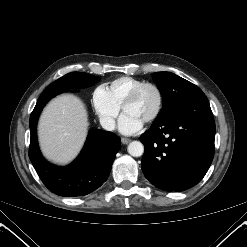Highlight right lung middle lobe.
Instances as JSON below:
<instances>
[{"label": "right lung middle lobe", "mask_w": 247, "mask_h": 247, "mask_svg": "<svg viewBox=\"0 0 247 247\" xmlns=\"http://www.w3.org/2000/svg\"><path fill=\"white\" fill-rule=\"evenodd\" d=\"M99 77L82 72H72L64 75L45 88V91H60L85 88L94 85Z\"/></svg>", "instance_id": "obj_1"}]
</instances>
